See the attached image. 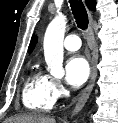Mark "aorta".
<instances>
[{
  "instance_id": "obj_1",
  "label": "aorta",
  "mask_w": 118,
  "mask_h": 123,
  "mask_svg": "<svg viewBox=\"0 0 118 123\" xmlns=\"http://www.w3.org/2000/svg\"><path fill=\"white\" fill-rule=\"evenodd\" d=\"M66 18L64 16L55 17L48 25L44 36V56L47 69L55 77H63V40L66 29Z\"/></svg>"
}]
</instances>
